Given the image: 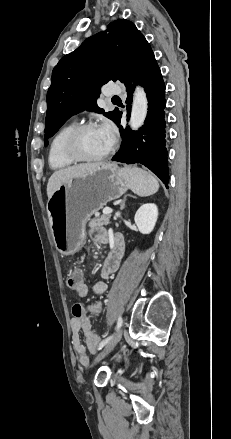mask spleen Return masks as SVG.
<instances>
[{
	"mask_svg": "<svg viewBox=\"0 0 231 439\" xmlns=\"http://www.w3.org/2000/svg\"><path fill=\"white\" fill-rule=\"evenodd\" d=\"M128 187L139 196H150L156 193L159 189L157 179L147 171L140 168L125 167L121 169Z\"/></svg>",
	"mask_w": 231,
	"mask_h": 439,
	"instance_id": "1",
	"label": "spleen"
}]
</instances>
